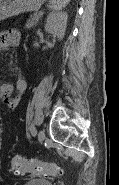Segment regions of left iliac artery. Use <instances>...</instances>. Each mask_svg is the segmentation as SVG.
Returning a JSON list of instances; mask_svg holds the SVG:
<instances>
[{
	"instance_id": "obj_1",
	"label": "left iliac artery",
	"mask_w": 119,
	"mask_h": 185,
	"mask_svg": "<svg viewBox=\"0 0 119 185\" xmlns=\"http://www.w3.org/2000/svg\"><path fill=\"white\" fill-rule=\"evenodd\" d=\"M30 132H31V134H32L33 136H35V135H36L37 130H36V128H35V126H34V125H32V126L30 127Z\"/></svg>"
}]
</instances>
